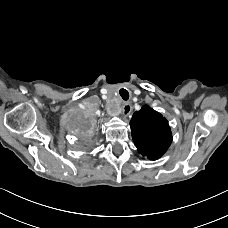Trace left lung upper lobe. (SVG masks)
Returning a JSON list of instances; mask_svg holds the SVG:
<instances>
[{
	"label": "left lung upper lobe",
	"instance_id": "1",
	"mask_svg": "<svg viewBox=\"0 0 228 228\" xmlns=\"http://www.w3.org/2000/svg\"><path fill=\"white\" fill-rule=\"evenodd\" d=\"M130 127L138 152L149 160L160 158L172 142L168 121L147 105L133 114Z\"/></svg>",
	"mask_w": 228,
	"mask_h": 228
}]
</instances>
